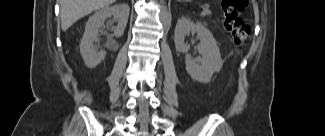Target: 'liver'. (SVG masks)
Masks as SVG:
<instances>
[{"label":"liver","mask_w":325,"mask_h":136,"mask_svg":"<svg viewBox=\"0 0 325 136\" xmlns=\"http://www.w3.org/2000/svg\"><path fill=\"white\" fill-rule=\"evenodd\" d=\"M61 28L66 31L77 20L100 8L106 7L115 0H59Z\"/></svg>","instance_id":"obj_1"}]
</instances>
